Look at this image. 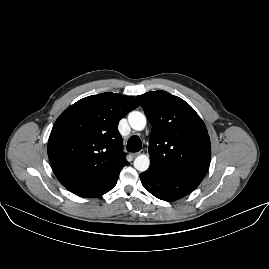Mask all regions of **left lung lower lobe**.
I'll use <instances>...</instances> for the list:
<instances>
[{
	"label": "left lung lower lobe",
	"instance_id": "obj_1",
	"mask_svg": "<svg viewBox=\"0 0 269 269\" xmlns=\"http://www.w3.org/2000/svg\"><path fill=\"white\" fill-rule=\"evenodd\" d=\"M144 188L155 197L175 201L191 193L201 181L148 169L140 174Z\"/></svg>",
	"mask_w": 269,
	"mask_h": 269
}]
</instances>
